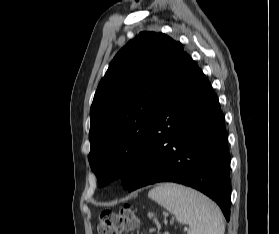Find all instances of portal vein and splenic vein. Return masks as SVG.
Returning <instances> with one entry per match:
<instances>
[{
  "mask_svg": "<svg viewBox=\"0 0 279 234\" xmlns=\"http://www.w3.org/2000/svg\"><path fill=\"white\" fill-rule=\"evenodd\" d=\"M153 231H155V228H151V229H150V232H153Z\"/></svg>",
  "mask_w": 279,
  "mask_h": 234,
  "instance_id": "obj_1",
  "label": "portal vein and splenic vein"
}]
</instances>
